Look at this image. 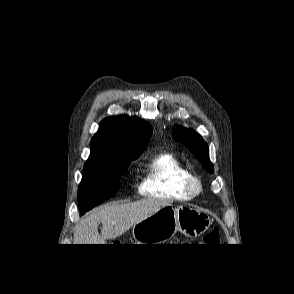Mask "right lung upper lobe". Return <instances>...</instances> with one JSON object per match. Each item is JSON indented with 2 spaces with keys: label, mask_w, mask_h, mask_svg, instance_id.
<instances>
[{
  "label": "right lung upper lobe",
  "mask_w": 294,
  "mask_h": 294,
  "mask_svg": "<svg viewBox=\"0 0 294 294\" xmlns=\"http://www.w3.org/2000/svg\"><path fill=\"white\" fill-rule=\"evenodd\" d=\"M150 125L136 117L119 115L104 119L91 140V154H124L138 157L151 134Z\"/></svg>",
  "instance_id": "right-lung-upper-lobe-1"
}]
</instances>
